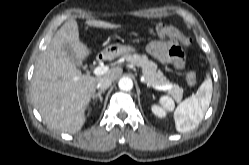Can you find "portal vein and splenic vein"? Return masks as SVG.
<instances>
[{
    "instance_id": "18ae733b",
    "label": "portal vein and splenic vein",
    "mask_w": 249,
    "mask_h": 165,
    "mask_svg": "<svg viewBox=\"0 0 249 165\" xmlns=\"http://www.w3.org/2000/svg\"><path fill=\"white\" fill-rule=\"evenodd\" d=\"M108 71H109L108 66H98L93 70V74L99 76L107 73ZM153 87L157 90L165 91L171 89L172 85H153Z\"/></svg>"
}]
</instances>
